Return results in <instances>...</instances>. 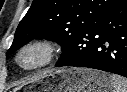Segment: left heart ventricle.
Segmentation results:
<instances>
[{
	"instance_id": "obj_1",
	"label": "left heart ventricle",
	"mask_w": 127,
	"mask_h": 92,
	"mask_svg": "<svg viewBox=\"0 0 127 92\" xmlns=\"http://www.w3.org/2000/svg\"><path fill=\"white\" fill-rule=\"evenodd\" d=\"M40 59H41L40 52L30 51V52L25 53L22 56L21 61H22L23 65L31 66V65L37 63Z\"/></svg>"
}]
</instances>
